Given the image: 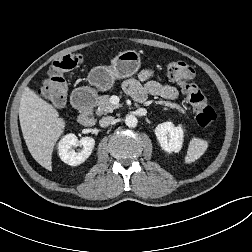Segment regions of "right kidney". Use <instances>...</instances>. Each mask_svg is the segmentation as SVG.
I'll list each match as a JSON object with an SVG mask.
<instances>
[{
    "label": "right kidney",
    "instance_id": "ca27d5eb",
    "mask_svg": "<svg viewBox=\"0 0 252 252\" xmlns=\"http://www.w3.org/2000/svg\"><path fill=\"white\" fill-rule=\"evenodd\" d=\"M78 145L83 148L77 153L73 147ZM94 145L95 140L91 137H82L78 140L74 134H67L58 143L59 157L70 166L80 165L91 155Z\"/></svg>",
    "mask_w": 252,
    "mask_h": 252
}]
</instances>
